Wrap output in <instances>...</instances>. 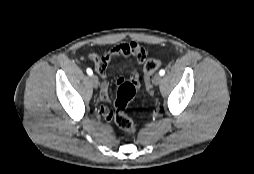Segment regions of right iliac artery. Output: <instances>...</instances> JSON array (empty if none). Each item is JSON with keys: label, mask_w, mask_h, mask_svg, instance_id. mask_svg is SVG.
<instances>
[{"label": "right iliac artery", "mask_w": 254, "mask_h": 174, "mask_svg": "<svg viewBox=\"0 0 254 174\" xmlns=\"http://www.w3.org/2000/svg\"><path fill=\"white\" fill-rule=\"evenodd\" d=\"M86 71H87L88 75H92L93 74V71L90 68H88Z\"/></svg>", "instance_id": "82829eb1"}]
</instances>
